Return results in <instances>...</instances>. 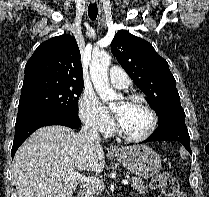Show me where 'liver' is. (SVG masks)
<instances>
[{
	"mask_svg": "<svg viewBox=\"0 0 209 197\" xmlns=\"http://www.w3.org/2000/svg\"><path fill=\"white\" fill-rule=\"evenodd\" d=\"M104 163L99 142L65 126H46L18 149L12 177L18 197H72L78 181L67 172L100 171Z\"/></svg>",
	"mask_w": 209,
	"mask_h": 197,
	"instance_id": "1",
	"label": "liver"
}]
</instances>
